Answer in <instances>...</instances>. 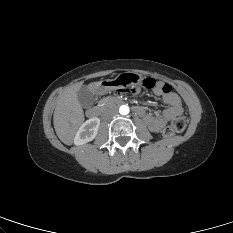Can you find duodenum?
<instances>
[{"label": "duodenum", "mask_w": 233, "mask_h": 233, "mask_svg": "<svg viewBox=\"0 0 233 233\" xmlns=\"http://www.w3.org/2000/svg\"><path fill=\"white\" fill-rule=\"evenodd\" d=\"M122 103H123V100L121 98L109 99L103 105L89 108L87 111V115L90 118H98L106 107L111 106V105H121Z\"/></svg>", "instance_id": "obj_1"}]
</instances>
